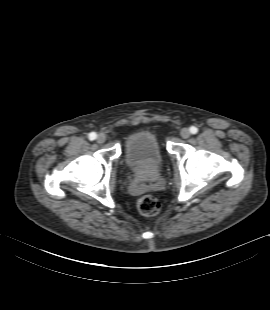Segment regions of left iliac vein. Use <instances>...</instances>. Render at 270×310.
<instances>
[{"label":"left iliac vein","instance_id":"1","mask_svg":"<svg viewBox=\"0 0 270 310\" xmlns=\"http://www.w3.org/2000/svg\"><path fill=\"white\" fill-rule=\"evenodd\" d=\"M191 133L189 131V129L187 128H183L181 129L180 131V136L183 138V139H188L190 137Z\"/></svg>","mask_w":270,"mask_h":310}]
</instances>
